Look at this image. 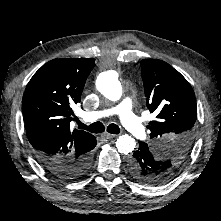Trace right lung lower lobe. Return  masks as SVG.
Returning <instances> with one entry per match:
<instances>
[{"mask_svg":"<svg viewBox=\"0 0 221 221\" xmlns=\"http://www.w3.org/2000/svg\"><path fill=\"white\" fill-rule=\"evenodd\" d=\"M35 156L50 174L60 179H76L84 175L89 170L92 162L90 152L68 162L45 159L40 155Z\"/></svg>","mask_w":221,"mask_h":221,"instance_id":"obj_1","label":"right lung lower lobe"}]
</instances>
